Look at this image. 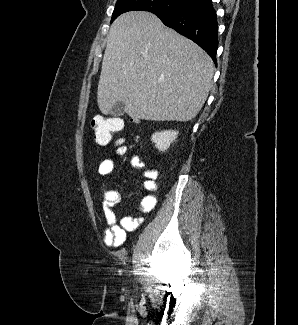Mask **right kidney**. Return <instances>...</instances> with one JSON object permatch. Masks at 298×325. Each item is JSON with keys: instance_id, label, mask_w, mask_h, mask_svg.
<instances>
[{"instance_id": "1", "label": "right kidney", "mask_w": 298, "mask_h": 325, "mask_svg": "<svg viewBox=\"0 0 298 325\" xmlns=\"http://www.w3.org/2000/svg\"><path fill=\"white\" fill-rule=\"evenodd\" d=\"M178 134V130H160V132H153L151 140L158 150L165 152V150L169 148L171 142L176 140Z\"/></svg>"}]
</instances>
